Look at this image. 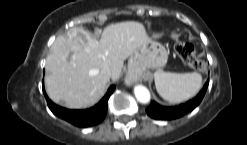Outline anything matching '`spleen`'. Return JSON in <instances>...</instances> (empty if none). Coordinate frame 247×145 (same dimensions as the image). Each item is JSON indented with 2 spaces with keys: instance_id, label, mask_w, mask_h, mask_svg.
Returning <instances> with one entry per match:
<instances>
[{
  "instance_id": "obj_1",
  "label": "spleen",
  "mask_w": 247,
  "mask_h": 145,
  "mask_svg": "<svg viewBox=\"0 0 247 145\" xmlns=\"http://www.w3.org/2000/svg\"><path fill=\"white\" fill-rule=\"evenodd\" d=\"M155 86L166 101L177 104L194 97L202 88V76L197 72L171 73L156 71Z\"/></svg>"
}]
</instances>
